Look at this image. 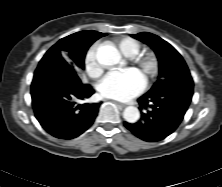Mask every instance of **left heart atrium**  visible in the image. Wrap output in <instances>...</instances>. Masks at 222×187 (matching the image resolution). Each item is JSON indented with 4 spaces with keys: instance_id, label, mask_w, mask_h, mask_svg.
<instances>
[{
    "instance_id": "left-heart-atrium-1",
    "label": "left heart atrium",
    "mask_w": 222,
    "mask_h": 187,
    "mask_svg": "<svg viewBox=\"0 0 222 187\" xmlns=\"http://www.w3.org/2000/svg\"><path fill=\"white\" fill-rule=\"evenodd\" d=\"M143 74L136 68L113 70L99 84L102 96L119 101H129L145 88Z\"/></svg>"
}]
</instances>
